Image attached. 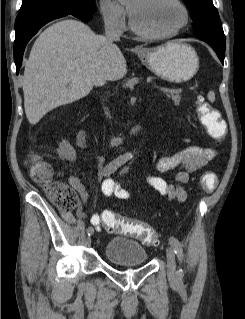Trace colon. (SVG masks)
I'll list each match as a JSON object with an SVG mask.
<instances>
[{"label":"colon","mask_w":245,"mask_h":319,"mask_svg":"<svg viewBox=\"0 0 245 319\" xmlns=\"http://www.w3.org/2000/svg\"><path fill=\"white\" fill-rule=\"evenodd\" d=\"M196 110L201 124L208 135L220 145L225 139L227 128L221 120L219 112L202 96L196 99ZM31 175L33 180L44 188L54 205L64 211H73L79 204L76 192L69 185L52 180V170L48 164L33 158L31 160ZM217 185V176L214 172H207L201 179V186L205 191H212ZM102 222L108 232H119L134 236L147 245H157L156 231L146 222L119 216L113 211L106 210L102 214Z\"/></svg>","instance_id":"5ec220e1"}]
</instances>
